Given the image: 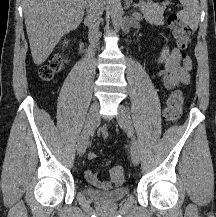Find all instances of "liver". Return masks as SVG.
<instances>
[{
    "label": "liver",
    "mask_w": 216,
    "mask_h": 217,
    "mask_svg": "<svg viewBox=\"0 0 216 217\" xmlns=\"http://www.w3.org/2000/svg\"><path fill=\"white\" fill-rule=\"evenodd\" d=\"M86 0H23L25 25L33 61L41 65L61 37L76 29Z\"/></svg>",
    "instance_id": "liver-1"
}]
</instances>
